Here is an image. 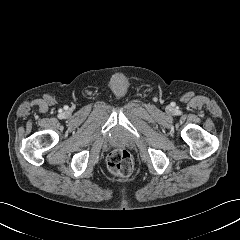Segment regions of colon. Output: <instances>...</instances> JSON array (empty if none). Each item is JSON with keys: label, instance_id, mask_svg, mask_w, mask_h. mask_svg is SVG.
Segmentation results:
<instances>
[{"label": "colon", "instance_id": "1", "mask_svg": "<svg viewBox=\"0 0 240 240\" xmlns=\"http://www.w3.org/2000/svg\"><path fill=\"white\" fill-rule=\"evenodd\" d=\"M108 168L117 176H129L134 169V161L131 154L125 149L113 150L107 158Z\"/></svg>", "mask_w": 240, "mask_h": 240}]
</instances>
